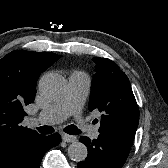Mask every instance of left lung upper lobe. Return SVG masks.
<instances>
[{"label":"left lung upper lobe","instance_id":"5c2ea615","mask_svg":"<svg viewBox=\"0 0 168 168\" xmlns=\"http://www.w3.org/2000/svg\"><path fill=\"white\" fill-rule=\"evenodd\" d=\"M92 81L90 111L101 113L99 132L132 145L139 122V109L128 77L107 58L96 57Z\"/></svg>","mask_w":168,"mask_h":168}]
</instances>
